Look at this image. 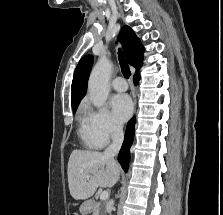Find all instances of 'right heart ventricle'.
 Listing matches in <instances>:
<instances>
[{
    "label": "right heart ventricle",
    "mask_w": 223,
    "mask_h": 215,
    "mask_svg": "<svg viewBox=\"0 0 223 215\" xmlns=\"http://www.w3.org/2000/svg\"><path fill=\"white\" fill-rule=\"evenodd\" d=\"M79 134L84 143L91 149L101 148L103 144H101L89 131L84 122V110L79 113Z\"/></svg>",
    "instance_id": "obj_1"
}]
</instances>
